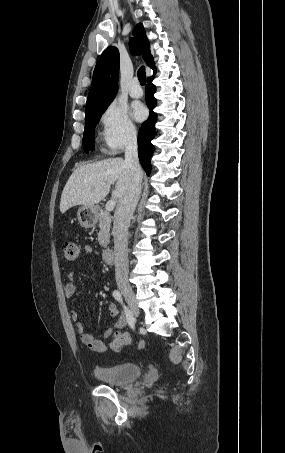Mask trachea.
Listing matches in <instances>:
<instances>
[{"label": "trachea", "instance_id": "1", "mask_svg": "<svg viewBox=\"0 0 285 453\" xmlns=\"http://www.w3.org/2000/svg\"><path fill=\"white\" fill-rule=\"evenodd\" d=\"M138 79L140 81V84L141 85H145L146 84V73H145V67H140L139 70H138Z\"/></svg>", "mask_w": 285, "mask_h": 453}]
</instances>
